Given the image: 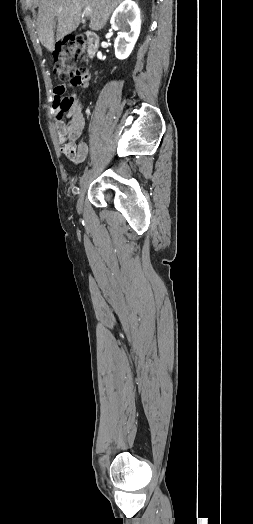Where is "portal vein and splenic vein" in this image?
Returning a JSON list of instances; mask_svg holds the SVG:
<instances>
[{
	"instance_id": "obj_1",
	"label": "portal vein and splenic vein",
	"mask_w": 253,
	"mask_h": 524,
	"mask_svg": "<svg viewBox=\"0 0 253 524\" xmlns=\"http://www.w3.org/2000/svg\"><path fill=\"white\" fill-rule=\"evenodd\" d=\"M83 13L85 16H91L92 10L90 7H85Z\"/></svg>"
}]
</instances>
